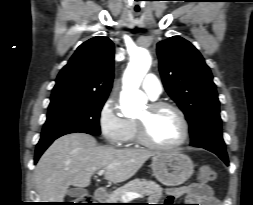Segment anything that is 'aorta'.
I'll return each instance as SVG.
<instances>
[{"label":"aorta","mask_w":253,"mask_h":205,"mask_svg":"<svg viewBox=\"0 0 253 205\" xmlns=\"http://www.w3.org/2000/svg\"><path fill=\"white\" fill-rule=\"evenodd\" d=\"M151 65V56L147 49L136 48L123 77L121 109L124 115L131 116L141 110L147 102L146 95L139 90L142 78Z\"/></svg>","instance_id":"762f6f07"}]
</instances>
